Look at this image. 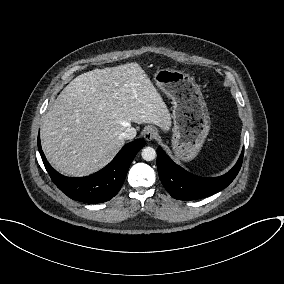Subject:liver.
I'll use <instances>...</instances> for the list:
<instances>
[{
	"mask_svg": "<svg viewBox=\"0 0 284 284\" xmlns=\"http://www.w3.org/2000/svg\"><path fill=\"white\" fill-rule=\"evenodd\" d=\"M131 122L169 130L171 116L141 66L126 63L73 79L58 95L41 126L43 151L62 174L90 175L124 146Z\"/></svg>",
	"mask_w": 284,
	"mask_h": 284,
	"instance_id": "liver-1",
	"label": "liver"
}]
</instances>
